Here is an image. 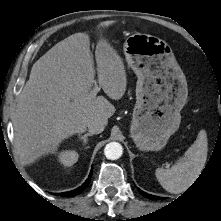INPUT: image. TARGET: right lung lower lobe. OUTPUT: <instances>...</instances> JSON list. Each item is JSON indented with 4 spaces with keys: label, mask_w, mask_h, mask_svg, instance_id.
<instances>
[{
    "label": "right lung lower lobe",
    "mask_w": 221,
    "mask_h": 221,
    "mask_svg": "<svg viewBox=\"0 0 221 221\" xmlns=\"http://www.w3.org/2000/svg\"><path fill=\"white\" fill-rule=\"evenodd\" d=\"M91 175H92V172L90 173L89 178L86 180V182L82 186L78 187L77 189L69 191V192H65V193H57L55 195L66 196V197H73V196L78 195L88 186L90 179H91Z\"/></svg>",
    "instance_id": "98d812e1"
}]
</instances>
